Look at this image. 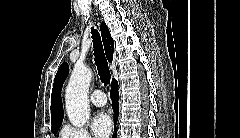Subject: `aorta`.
<instances>
[{"mask_svg":"<svg viewBox=\"0 0 240 138\" xmlns=\"http://www.w3.org/2000/svg\"><path fill=\"white\" fill-rule=\"evenodd\" d=\"M92 72L83 65H75L66 88V112L72 125L83 126L90 117L88 89Z\"/></svg>","mask_w":240,"mask_h":138,"instance_id":"762f6f07","label":"aorta"}]
</instances>
